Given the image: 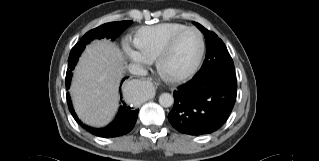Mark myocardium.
Returning <instances> with one entry per match:
<instances>
[{
	"label": "myocardium",
	"mask_w": 319,
	"mask_h": 161,
	"mask_svg": "<svg viewBox=\"0 0 319 161\" xmlns=\"http://www.w3.org/2000/svg\"><path fill=\"white\" fill-rule=\"evenodd\" d=\"M189 31H194L198 34L199 36V43H200V49H199V53L198 56L194 62V64L186 71L181 72V73H169L165 70L164 68V62L167 58V56L169 55V53L171 52V50L173 49L175 43L177 42V40L186 32ZM205 53V42H204V36L202 34V32L195 28V27H187L184 28L176 33H174L166 42V44L164 45V47L162 48L161 52L159 53V55L157 56L156 59V72L157 74L164 80L168 81V82H181L184 81L186 79H188L189 77H191L192 75H194L197 70L199 69L202 60H203V56Z\"/></svg>",
	"instance_id": "obj_1"
}]
</instances>
